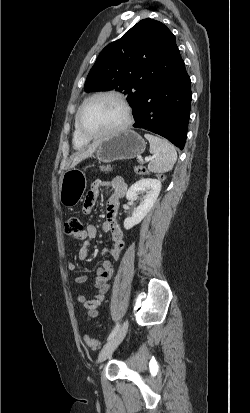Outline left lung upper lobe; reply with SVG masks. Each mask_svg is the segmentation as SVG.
Wrapping results in <instances>:
<instances>
[{
    "mask_svg": "<svg viewBox=\"0 0 250 413\" xmlns=\"http://www.w3.org/2000/svg\"><path fill=\"white\" fill-rule=\"evenodd\" d=\"M175 36L161 22L147 18L108 44L91 68L85 91L117 90L132 107L145 81L165 66Z\"/></svg>",
    "mask_w": 250,
    "mask_h": 413,
    "instance_id": "1",
    "label": "left lung upper lobe"
}]
</instances>
